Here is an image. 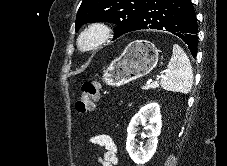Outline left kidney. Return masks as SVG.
<instances>
[{
    "label": "left kidney",
    "mask_w": 227,
    "mask_h": 166,
    "mask_svg": "<svg viewBox=\"0 0 227 166\" xmlns=\"http://www.w3.org/2000/svg\"><path fill=\"white\" fill-rule=\"evenodd\" d=\"M147 120L149 125L146 126ZM140 124H144V128L148 131L147 134L142 133V136L147 137L148 140L145 146L140 145L139 147L135 143V136ZM161 127L160 107L155 102L143 106L131 119L127 128L126 150L136 164L143 165L152 158L157 148Z\"/></svg>",
    "instance_id": "obj_1"
}]
</instances>
